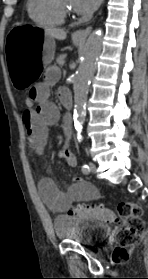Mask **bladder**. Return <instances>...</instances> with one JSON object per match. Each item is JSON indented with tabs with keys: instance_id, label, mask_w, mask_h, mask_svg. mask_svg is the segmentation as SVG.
Listing matches in <instances>:
<instances>
[{
	"instance_id": "bladder-1",
	"label": "bladder",
	"mask_w": 148,
	"mask_h": 279,
	"mask_svg": "<svg viewBox=\"0 0 148 279\" xmlns=\"http://www.w3.org/2000/svg\"><path fill=\"white\" fill-rule=\"evenodd\" d=\"M53 226L59 240L74 241L86 246L104 242L110 233V227L105 223L67 215L56 216Z\"/></svg>"
}]
</instances>
